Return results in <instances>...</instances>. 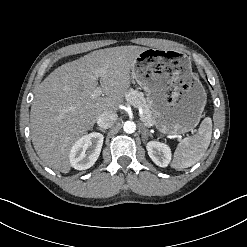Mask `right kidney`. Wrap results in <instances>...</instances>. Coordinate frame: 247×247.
Instances as JSON below:
<instances>
[{
  "label": "right kidney",
  "mask_w": 247,
  "mask_h": 247,
  "mask_svg": "<svg viewBox=\"0 0 247 247\" xmlns=\"http://www.w3.org/2000/svg\"><path fill=\"white\" fill-rule=\"evenodd\" d=\"M104 136L90 133L78 139L71 147L69 159L76 170H86L94 165L103 145Z\"/></svg>",
  "instance_id": "1"
}]
</instances>
